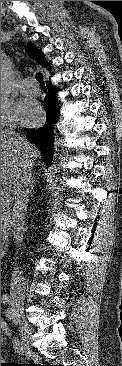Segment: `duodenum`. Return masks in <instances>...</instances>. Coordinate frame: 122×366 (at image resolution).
Returning <instances> with one entry per match:
<instances>
[{"label": "duodenum", "mask_w": 122, "mask_h": 366, "mask_svg": "<svg viewBox=\"0 0 122 366\" xmlns=\"http://www.w3.org/2000/svg\"><path fill=\"white\" fill-rule=\"evenodd\" d=\"M5 250V244L1 242V256H2V253L4 252Z\"/></svg>", "instance_id": "obj_1"}]
</instances>
